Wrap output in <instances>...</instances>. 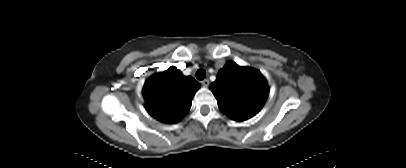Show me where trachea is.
<instances>
[{
  "label": "trachea",
  "mask_w": 406,
  "mask_h": 168,
  "mask_svg": "<svg viewBox=\"0 0 406 168\" xmlns=\"http://www.w3.org/2000/svg\"><path fill=\"white\" fill-rule=\"evenodd\" d=\"M206 77V71L204 69H199L196 72V78L198 80H203Z\"/></svg>",
  "instance_id": "3493384b"
}]
</instances>
